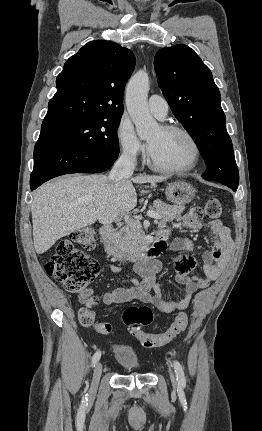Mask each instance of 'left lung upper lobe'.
I'll list each match as a JSON object with an SVG mask.
<instances>
[{
	"label": "left lung upper lobe",
	"mask_w": 262,
	"mask_h": 431,
	"mask_svg": "<svg viewBox=\"0 0 262 431\" xmlns=\"http://www.w3.org/2000/svg\"><path fill=\"white\" fill-rule=\"evenodd\" d=\"M154 67L159 86L175 117L199 148L207 172L203 177L238 187L239 173L220 92L210 69L190 47L179 44L160 49Z\"/></svg>",
	"instance_id": "1"
}]
</instances>
